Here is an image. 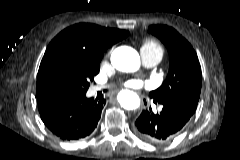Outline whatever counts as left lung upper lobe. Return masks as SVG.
Instances as JSON below:
<instances>
[{
	"label": "left lung upper lobe",
	"instance_id": "5c2ea615",
	"mask_svg": "<svg viewBox=\"0 0 240 160\" xmlns=\"http://www.w3.org/2000/svg\"><path fill=\"white\" fill-rule=\"evenodd\" d=\"M148 31L167 47L170 68L166 80L150 97L157 102H176L196 110L202 82L201 66L191 44L175 29L152 25Z\"/></svg>",
	"mask_w": 240,
	"mask_h": 160
}]
</instances>
